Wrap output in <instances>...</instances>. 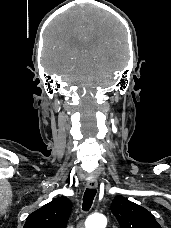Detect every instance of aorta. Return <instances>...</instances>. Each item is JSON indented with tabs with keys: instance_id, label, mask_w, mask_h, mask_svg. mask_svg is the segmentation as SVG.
I'll list each match as a JSON object with an SVG mask.
<instances>
[{
	"instance_id": "1",
	"label": "aorta",
	"mask_w": 171,
	"mask_h": 228,
	"mask_svg": "<svg viewBox=\"0 0 171 228\" xmlns=\"http://www.w3.org/2000/svg\"><path fill=\"white\" fill-rule=\"evenodd\" d=\"M106 226L107 219L102 214L90 215L85 222V228H106Z\"/></svg>"
}]
</instances>
